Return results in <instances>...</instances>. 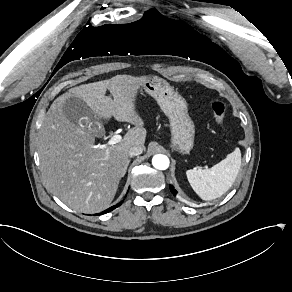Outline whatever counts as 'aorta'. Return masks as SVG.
<instances>
[{
  "mask_svg": "<svg viewBox=\"0 0 292 292\" xmlns=\"http://www.w3.org/2000/svg\"><path fill=\"white\" fill-rule=\"evenodd\" d=\"M152 164L158 170H165L169 167V159L166 155L158 154L153 157Z\"/></svg>",
  "mask_w": 292,
  "mask_h": 292,
  "instance_id": "1",
  "label": "aorta"
}]
</instances>
